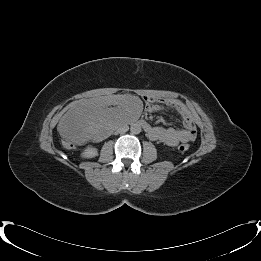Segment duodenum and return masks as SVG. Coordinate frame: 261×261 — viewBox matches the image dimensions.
Instances as JSON below:
<instances>
[{
    "label": "duodenum",
    "instance_id": "duodenum-1",
    "mask_svg": "<svg viewBox=\"0 0 261 261\" xmlns=\"http://www.w3.org/2000/svg\"><path fill=\"white\" fill-rule=\"evenodd\" d=\"M138 124H139L140 126H142L143 129H144L146 132H150V131H151V126H150L146 121L140 120V121H138Z\"/></svg>",
    "mask_w": 261,
    "mask_h": 261
}]
</instances>
